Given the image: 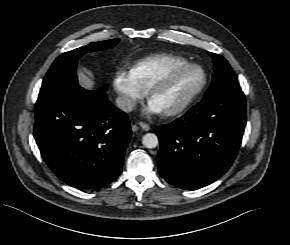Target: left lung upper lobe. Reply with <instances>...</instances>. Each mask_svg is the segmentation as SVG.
I'll list each match as a JSON object with an SVG mask.
<instances>
[{
	"mask_svg": "<svg viewBox=\"0 0 290 245\" xmlns=\"http://www.w3.org/2000/svg\"><path fill=\"white\" fill-rule=\"evenodd\" d=\"M214 62V74L212 84L204 99L211 98L221 92L229 90H241L235 74L228 61L221 55L208 52Z\"/></svg>",
	"mask_w": 290,
	"mask_h": 245,
	"instance_id": "left-lung-upper-lobe-1",
	"label": "left lung upper lobe"
}]
</instances>
